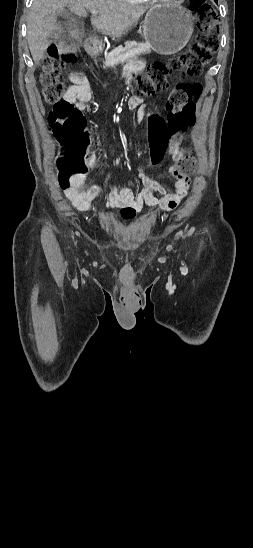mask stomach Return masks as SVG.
<instances>
[{
  "mask_svg": "<svg viewBox=\"0 0 253 548\" xmlns=\"http://www.w3.org/2000/svg\"><path fill=\"white\" fill-rule=\"evenodd\" d=\"M193 33V17L176 4L153 6L143 22L145 42L157 53L171 55L188 43Z\"/></svg>",
  "mask_w": 253,
  "mask_h": 548,
  "instance_id": "obj_1",
  "label": "stomach"
}]
</instances>
